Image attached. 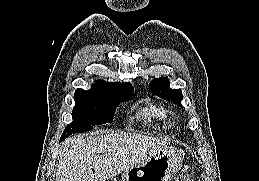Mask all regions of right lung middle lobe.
Returning <instances> with one entry per match:
<instances>
[{"label":"right lung middle lobe","mask_w":259,"mask_h":181,"mask_svg":"<svg viewBox=\"0 0 259 181\" xmlns=\"http://www.w3.org/2000/svg\"><path fill=\"white\" fill-rule=\"evenodd\" d=\"M129 97L111 98L75 94L73 122L66 126L61 138L64 140L71 134L83 133L91 130L95 125L111 122L119 103L128 100Z\"/></svg>","instance_id":"dd1d6c3e"}]
</instances>
